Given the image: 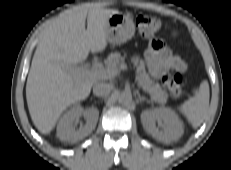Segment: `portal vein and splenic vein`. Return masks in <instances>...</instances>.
Instances as JSON below:
<instances>
[{
  "label": "portal vein and splenic vein",
  "instance_id": "18ae733b",
  "mask_svg": "<svg viewBox=\"0 0 231 170\" xmlns=\"http://www.w3.org/2000/svg\"><path fill=\"white\" fill-rule=\"evenodd\" d=\"M128 67L125 63L121 64L119 69L120 70H126ZM71 73H78V74H89L95 78L98 79H112L114 78L118 71L114 69H105L103 67L97 68L95 70H88L86 67H79V68H74V67H69L68 69Z\"/></svg>",
  "mask_w": 231,
  "mask_h": 170
}]
</instances>
